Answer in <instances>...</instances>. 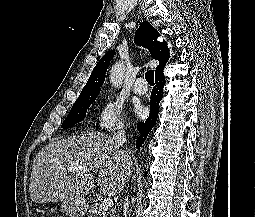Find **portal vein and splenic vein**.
<instances>
[{
	"instance_id": "portal-vein-and-splenic-vein-1",
	"label": "portal vein and splenic vein",
	"mask_w": 255,
	"mask_h": 217,
	"mask_svg": "<svg viewBox=\"0 0 255 217\" xmlns=\"http://www.w3.org/2000/svg\"><path fill=\"white\" fill-rule=\"evenodd\" d=\"M86 168L84 166H81L79 164H73L67 167L68 172H74V171H78V170H85ZM113 206V200L111 198H106L103 200V202L101 203L100 207L103 211H108L112 208Z\"/></svg>"
}]
</instances>
